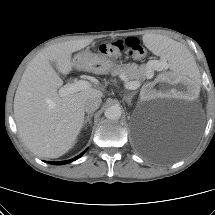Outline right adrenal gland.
I'll return each instance as SVG.
<instances>
[{
  "instance_id": "1",
  "label": "right adrenal gland",
  "mask_w": 215,
  "mask_h": 215,
  "mask_svg": "<svg viewBox=\"0 0 215 215\" xmlns=\"http://www.w3.org/2000/svg\"><path fill=\"white\" fill-rule=\"evenodd\" d=\"M93 116V113H90V114H88V116H86V118H85V120H84V122H83V127H85V125H87V123L89 124V125H91L92 124V121H91V117Z\"/></svg>"
}]
</instances>
